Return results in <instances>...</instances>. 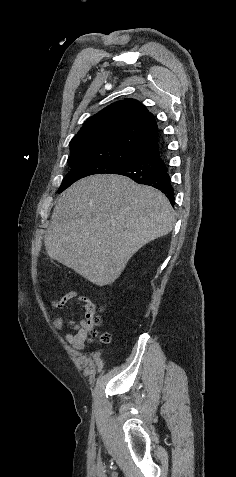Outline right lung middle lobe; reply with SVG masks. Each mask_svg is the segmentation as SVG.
Listing matches in <instances>:
<instances>
[{
	"label": "right lung middle lobe",
	"mask_w": 236,
	"mask_h": 477,
	"mask_svg": "<svg viewBox=\"0 0 236 477\" xmlns=\"http://www.w3.org/2000/svg\"><path fill=\"white\" fill-rule=\"evenodd\" d=\"M141 156L131 158L134 163L141 160ZM71 170L63 179L58 192H62L77 180L93 174H112L124 167L123 162L113 161L104 158L79 159L68 161Z\"/></svg>",
	"instance_id": "1"
}]
</instances>
